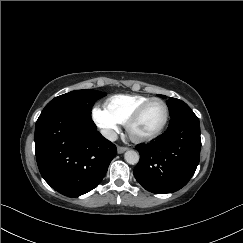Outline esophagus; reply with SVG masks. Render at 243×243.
<instances>
[{"instance_id":"1","label":"esophagus","mask_w":243,"mask_h":243,"mask_svg":"<svg viewBox=\"0 0 243 243\" xmlns=\"http://www.w3.org/2000/svg\"><path fill=\"white\" fill-rule=\"evenodd\" d=\"M127 150H128L127 147H122V146H118V147H117V152H118L119 154H122V153H124V152L127 151Z\"/></svg>"}]
</instances>
